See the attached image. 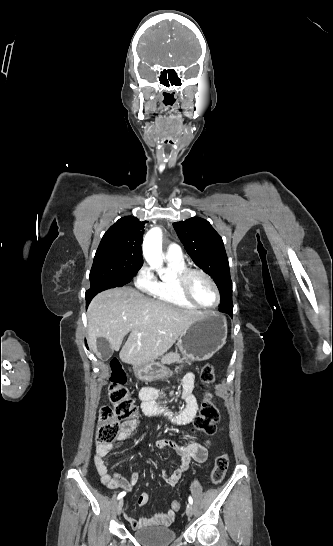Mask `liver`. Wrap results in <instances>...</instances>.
<instances>
[{"label": "liver", "mask_w": 333, "mask_h": 546, "mask_svg": "<svg viewBox=\"0 0 333 546\" xmlns=\"http://www.w3.org/2000/svg\"><path fill=\"white\" fill-rule=\"evenodd\" d=\"M203 316L200 311L150 299L131 287L109 289L97 294L89 305L88 344L101 357L97 338H105L112 350H119L130 332L119 353L120 360L132 365L151 363Z\"/></svg>", "instance_id": "1"}]
</instances>
